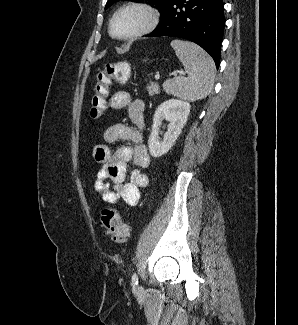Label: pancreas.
I'll list each match as a JSON object with an SVG mask.
<instances>
[{
	"mask_svg": "<svg viewBox=\"0 0 298 325\" xmlns=\"http://www.w3.org/2000/svg\"><path fill=\"white\" fill-rule=\"evenodd\" d=\"M146 92L149 96H153V94H160L161 88L158 82H149L146 86Z\"/></svg>",
	"mask_w": 298,
	"mask_h": 325,
	"instance_id": "1",
	"label": "pancreas"
}]
</instances>
